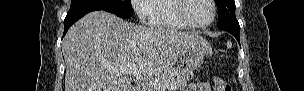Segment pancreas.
I'll list each match as a JSON object with an SVG mask.
<instances>
[{
	"label": "pancreas",
	"mask_w": 304,
	"mask_h": 91,
	"mask_svg": "<svg viewBox=\"0 0 304 91\" xmlns=\"http://www.w3.org/2000/svg\"><path fill=\"white\" fill-rule=\"evenodd\" d=\"M193 74V69L191 68H172L158 77V80L171 85L174 87V90L182 88L187 81L190 79V76ZM146 91H155L153 88L147 86Z\"/></svg>",
	"instance_id": "1"
}]
</instances>
